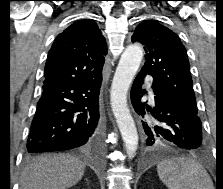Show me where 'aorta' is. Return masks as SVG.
Here are the masks:
<instances>
[{
    "mask_svg": "<svg viewBox=\"0 0 223 189\" xmlns=\"http://www.w3.org/2000/svg\"><path fill=\"white\" fill-rule=\"evenodd\" d=\"M143 58V49L129 45L121 55L110 91L111 107L129 158L138 149V132L127 105V93Z\"/></svg>",
    "mask_w": 223,
    "mask_h": 189,
    "instance_id": "obj_1",
    "label": "aorta"
}]
</instances>
